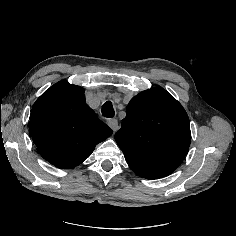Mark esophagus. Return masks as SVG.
I'll list each match as a JSON object with an SVG mask.
<instances>
[{"label":"esophagus","mask_w":236,"mask_h":236,"mask_svg":"<svg viewBox=\"0 0 236 236\" xmlns=\"http://www.w3.org/2000/svg\"><path fill=\"white\" fill-rule=\"evenodd\" d=\"M107 124L113 131H116L118 129L117 119H110L107 121Z\"/></svg>","instance_id":"34e87169"}]
</instances>
